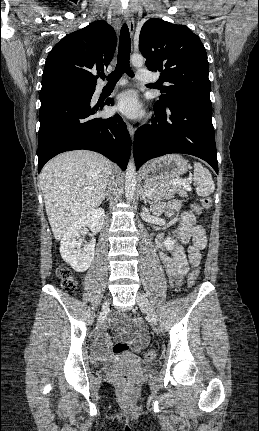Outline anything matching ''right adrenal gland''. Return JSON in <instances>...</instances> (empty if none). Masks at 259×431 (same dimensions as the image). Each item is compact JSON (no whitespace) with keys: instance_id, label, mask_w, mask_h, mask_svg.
<instances>
[{"instance_id":"1","label":"right adrenal gland","mask_w":259,"mask_h":431,"mask_svg":"<svg viewBox=\"0 0 259 431\" xmlns=\"http://www.w3.org/2000/svg\"><path fill=\"white\" fill-rule=\"evenodd\" d=\"M110 190H111V187H109V189L106 192V194H104L103 200H105V198H107L108 196H110Z\"/></svg>"}]
</instances>
